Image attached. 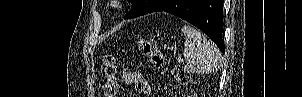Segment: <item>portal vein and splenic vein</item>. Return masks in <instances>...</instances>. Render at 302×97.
Instances as JSON below:
<instances>
[{"label":"portal vein and splenic vein","mask_w":302,"mask_h":97,"mask_svg":"<svg viewBox=\"0 0 302 97\" xmlns=\"http://www.w3.org/2000/svg\"><path fill=\"white\" fill-rule=\"evenodd\" d=\"M177 61H178V63H182V62H183V59H182L181 57H179V58L177 59Z\"/></svg>","instance_id":"portal-vein-and-splenic-vein-1"}]
</instances>
